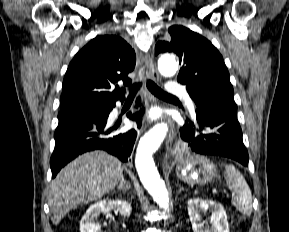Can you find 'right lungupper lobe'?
I'll list each match as a JSON object with an SVG mask.
<instances>
[{
    "mask_svg": "<svg viewBox=\"0 0 289 232\" xmlns=\"http://www.w3.org/2000/svg\"><path fill=\"white\" fill-rule=\"evenodd\" d=\"M131 46L118 35H98L71 61L63 80L61 111L80 108H108L125 99V90L117 85L135 67ZM113 89V91H111Z\"/></svg>",
    "mask_w": 289,
    "mask_h": 232,
    "instance_id": "cb5924a9",
    "label": "right lung upper lobe"
}]
</instances>
